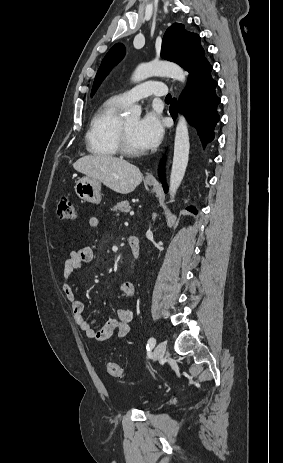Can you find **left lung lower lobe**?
Returning <instances> with one entry per match:
<instances>
[{"mask_svg":"<svg viewBox=\"0 0 283 463\" xmlns=\"http://www.w3.org/2000/svg\"><path fill=\"white\" fill-rule=\"evenodd\" d=\"M212 67L207 60L195 64L188 72L189 78L186 90L182 93L179 103L174 98L170 106V114L176 119L178 111H182L188 122L198 132L200 140L205 145L214 138V127L220 117L217 113V106L220 98L215 93L217 82L211 77ZM164 191L167 192V185L162 180ZM187 210L197 214L194 207Z\"/></svg>","mask_w":283,"mask_h":463,"instance_id":"obj_1","label":"left lung lower lobe"}]
</instances>
